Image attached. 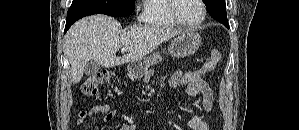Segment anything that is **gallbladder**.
<instances>
[{
    "instance_id": "obj_1",
    "label": "gallbladder",
    "mask_w": 299,
    "mask_h": 130,
    "mask_svg": "<svg viewBox=\"0 0 299 130\" xmlns=\"http://www.w3.org/2000/svg\"><path fill=\"white\" fill-rule=\"evenodd\" d=\"M99 68L100 64L94 60H91L86 64L84 72L87 76H93L98 72Z\"/></svg>"
}]
</instances>
